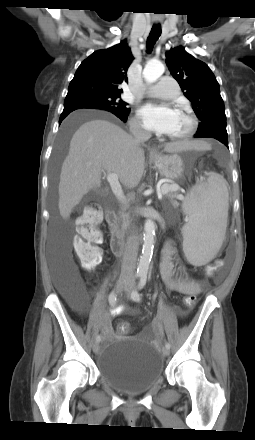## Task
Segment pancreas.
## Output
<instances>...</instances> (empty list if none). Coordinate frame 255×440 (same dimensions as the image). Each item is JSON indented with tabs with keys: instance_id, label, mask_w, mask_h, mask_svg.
<instances>
[{
	"instance_id": "1",
	"label": "pancreas",
	"mask_w": 255,
	"mask_h": 440,
	"mask_svg": "<svg viewBox=\"0 0 255 440\" xmlns=\"http://www.w3.org/2000/svg\"><path fill=\"white\" fill-rule=\"evenodd\" d=\"M167 186H169V185H163L161 190L165 189ZM164 195H166L171 200L173 206H175V207L178 206V203L174 200L178 196L176 193V190L169 191ZM130 222H131V220H130L129 213H127L125 211L120 212L119 217L117 218L116 223H115V230L121 234H125L127 229L129 228Z\"/></svg>"
}]
</instances>
